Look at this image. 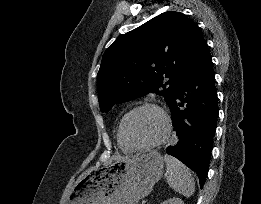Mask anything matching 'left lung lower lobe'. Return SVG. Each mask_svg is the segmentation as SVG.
<instances>
[{
    "label": "left lung lower lobe",
    "mask_w": 261,
    "mask_h": 204,
    "mask_svg": "<svg viewBox=\"0 0 261 204\" xmlns=\"http://www.w3.org/2000/svg\"><path fill=\"white\" fill-rule=\"evenodd\" d=\"M169 108L176 139L167 153L196 172L202 188L209 170L219 109L211 54L201 31L194 38Z\"/></svg>",
    "instance_id": "obj_1"
}]
</instances>
